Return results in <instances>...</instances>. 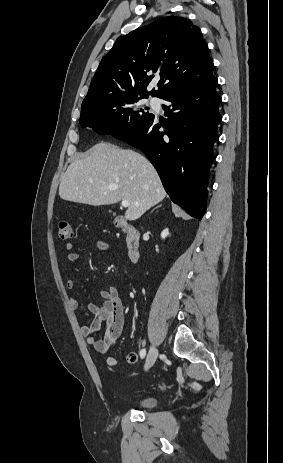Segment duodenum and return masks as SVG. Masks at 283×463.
Returning <instances> with one entry per match:
<instances>
[{
	"mask_svg": "<svg viewBox=\"0 0 283 463\" xmlns=\"http://www.w3.org/2000/svg\"><path fill=\"white\" fill-rule=\"evenodd\" d=\"M115 225L126 233V245L129 259L133 264H137L140 259V235L138 230L123 217L118 218L115 221Z\"/></svg>",
	"mask_w": 283,
	"mask_h": 463,
	"instance_id": "duodenum-1",
	"label": "duodenum"
}]
</instances>
